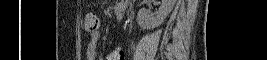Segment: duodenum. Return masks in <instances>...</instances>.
<instances>
[{"label":"duodenum","instance_id":"duodenum-1","mask_svg":"<svg viewBox=\"0 0 267 60\" xmlns=\"http://www.w3.org/2000/svg\"><path fill=\"white\" fill-rule=\"evenodd\" d=\"M124 13H125V9H124L123 5H118V6L115 8V15H116V18H117L118 20L123 19V17H124Z\"/></svg>","mask_w":267,"mask_h":60}]
</instances>
